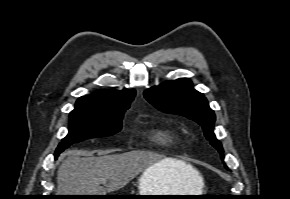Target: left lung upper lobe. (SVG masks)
<instances>
[{
    "label": "left lung upper lobe",
    "mask_w": 290,
    "mask_h": 199,
    "mask_svg": "<svg viewBox=\"0 0 290 199\" xmlns=\"http://www.w3.org/2000/svg\"><path fill=\"white\" fill-rule=\"evenodd\" d=\"M144 96L157 109L185 116L200 124L211 145L223 155L222 145L213 132L214 111L209 107L204 95L193 89L190 79L166 81L145 90Z\"/></svg>",
    "instance_id": "left-lung-upper-lobe-1"
}]
</instances>
